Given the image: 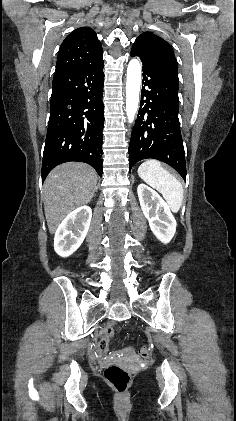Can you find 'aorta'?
Listing matches in <instances>:
<instances>
[{
    "mask_svg": "<svg viewBox=\"0 0 236 421\" xmlns=\"http://www.w3.org/2000/svg\"><path fill=\"white\" fill-rule=\"evenodd\" d=\"M141 86V64L138 58H132L127 66L126 76V114L128 122H133L139 106Z\"/></svg>",
    "mask_w": 236,
    "mask_h": 421,
    "instance_id": "762f6f07",
    "label": "aorta"
}]
</instances>
